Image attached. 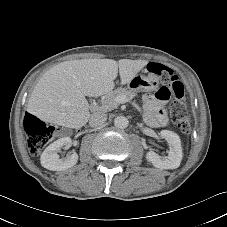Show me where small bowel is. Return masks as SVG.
<instances>
[{"label": "small bowel", "instance_id": "c3829d8e", "mask_svg": "<svg viewBox=\"0 0 227 227\" xmlns=\"http://www.w3.org/2000/svg\"><path fill=\"white\" fill-rule=\"evenodd\" d=\"M171 98V91L166 86H159L155 89L154 95L144 96L145 119L152 127L163 126L166 123V114L163 110L164 103Z\"/></svg>", "mask_w": 227, "mask_h": 227}]
</instances>
